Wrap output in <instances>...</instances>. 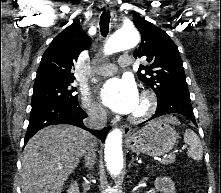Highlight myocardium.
Segmentation results:
<instances>
[{
    "instance_id": "1",
    "label": "myocardium",
    "mask_w": 221,
    "mask_h": 193,
    "mask_svg": "<svg viewBox=\"0 0 221 193\" xmlns=\"http://www.w3.org/2000/svg\"><path fill=\"white\" fill-rule=\"evenodd\" d=\"M140 100L142 102V109L129 117V120L133 123H140L147 120L156 109V97L150 91H143Z\"/></svg>"
}]
</instances>
